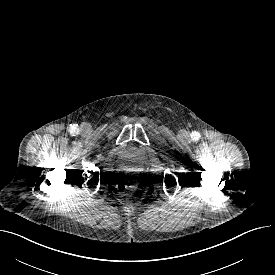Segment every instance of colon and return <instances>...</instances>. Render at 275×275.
Segmentation results:
<instances>
[{
  "label": "colon",
  "instance_id": "obj_1",
  "mask_svg": "<svg viewBox=\"0 0 275 275\" xmlns=\"http://www.w3.org/2000/svg\"><path fill=\"white\" fill-rule=\"evenodd\" d=\"M133 187H134V185L131 182L121 183L118 186V190H119L120 193L126 194V193L130 192L133 189Z\"/></svg>",
  "mask_w": 275,
  "mask_h": 275
}]
</instances>
